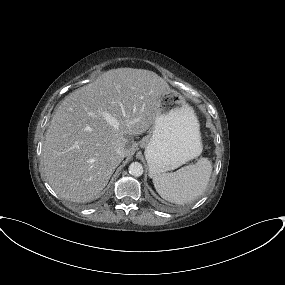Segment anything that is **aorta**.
<instances>
[{
	"label": "aorta",
	"mask_w": 285,
	"mask_h": 285,
	"mask_svg": "<svg viewBox=\"0 0 285 285\" xmlns=\"http://www.w3.org/2000/svg\"><path fill=\"white\" fill-rule=\"evenodd\" d=\"M143 171V166L139 162H133L129 166V173L134 177H140Z\"/></svg>",
	"instance_id": "aorta-1"
}]
</instances>
